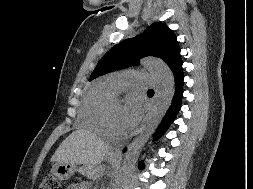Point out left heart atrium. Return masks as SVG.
<instances>
[{
	"label": "left heart atrium",
	"instance_id": "left-heart-atrium-1",
	"mask_svg": "<svg viewBox=\"0 0 253 189\" xmlns=\"http://www.w3.org/2000/svg\"><path fill=\"white\" fill-rule=\"evenodd\" d=\"M140 113L141 106L138 98L134 95L129 96L122 111V121L126 129L137 123Z\"/></svg>",
	"mask_w": 253,
	"mask_h": 189
}]
</instances>
